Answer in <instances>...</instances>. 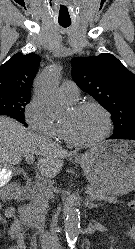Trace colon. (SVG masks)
<instances>
[{
	"instance_id": "colon-1",
	"label": "colon",
	"mask_w": 135,
	"mask_h": 249,
	"mask_svg": "<svg viewBox=\"0 0 135 249\" xmlns=\"http://www.w3.org/2000/svg\"><path fill=\"white\" fill-rule=\"evenodd\" d=\"M130 207L135 211V200L131 201ZM127 237L130 241H135V223L131 224L127 229Z\"/></svg>"
}]
</instances>
